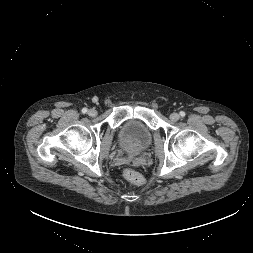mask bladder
<instances>
[{"instance_id": "31cf9c89", "label": "bladder", "mask_w": 253, "mask_h": 253, "mask_svg": "<svg viewBox=\"0 0 253 253\" xmlns=\"http://www.w3.org/2000/svg\"><path fill=\"white\" fill-rule=\"evenodd\" d=\"M119 139L121 145L127 150L139 152L150 145L152 133L143 123L131 120L126 122L121 128Z\"/></svg>"}]
</instances>
